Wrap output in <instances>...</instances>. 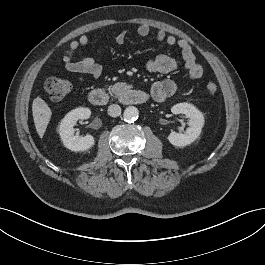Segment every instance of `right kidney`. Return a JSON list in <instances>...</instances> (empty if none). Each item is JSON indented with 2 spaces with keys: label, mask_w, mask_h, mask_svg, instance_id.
<instances>
[{
  "label": "right kidney",
  "mask_w": 265,
  "mask_h": 265,
  "mask_svg": "<svg viewBox=\"0 0 265 265\" xmlns=\"http://www.w3.org/2000/svg\"><path fill=\"white\" fill-rule=\"evenodd\" d=\"M90 115V109L79 107L67 113L62 119L58 131L64 146L69 150L75 152L85 151L90 149L94 145L95 140L93 136H75V130L73 128V126L79 119H87L90 117Z\"/></svg>",
  "instance_id": "1"
}]
</instances>
